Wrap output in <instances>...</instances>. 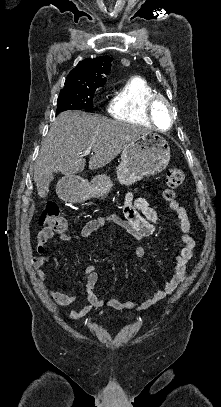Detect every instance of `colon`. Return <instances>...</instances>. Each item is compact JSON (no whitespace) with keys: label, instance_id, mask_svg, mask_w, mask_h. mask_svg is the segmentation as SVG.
Returning <instances> with one entry per match:
<instances>
[{"label":"colon","instance_id":"1","mask_svg":"<svg viewBox=\"0 0 221 407\" xmlns=\"http://www.w3.org/2000/svg\"><path fill=\"white\" fill-rule=\"evenodd\" d=\"M184 179L185 174L182 169L174 167L167 170V187L163 191V197L167 201H177V189L183 184ZM39 221L42 225H44V228L40 232L39 236L46 241L56 234L63 232L66 228L65 219L60 215L58 205L53 202L46 204L43 212L41 213Z\"/></svg>","mask_w":221,"mask_h":407}]
</instances>
